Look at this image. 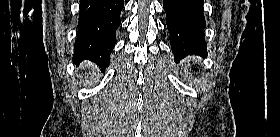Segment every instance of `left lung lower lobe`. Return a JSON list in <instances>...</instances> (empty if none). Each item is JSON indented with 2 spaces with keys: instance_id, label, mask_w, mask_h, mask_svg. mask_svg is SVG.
Instances as JSON below:
<instances>
[{
  "instance_id": "1",
  "label": "left lung lower lobe",
  "mask_w": 280,
  "mask_h": 137,
  "mask_svg": "<svg viewBox=\"0 0 280 137\" xmlns=\"http://www.w3.org/2000/svg\"><path fill=\"white\" fill-rule=\"evenodd\" d=\"M203 4V0H163L171 49L176 58L207 53L202 31L206 26Z\"/></svg>"
}]
</instances>
